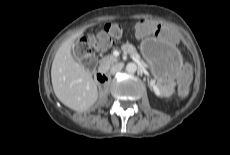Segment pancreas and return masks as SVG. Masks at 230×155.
<instances>
[{
  "mask_svg": "<svg viewBox=\"0 0 230 155\" xmlns=\"http://www.w3.org/2000/svg\"><path fill=\"white\" fill-rule=\"evenodd\" d=\"M122 50L125 52H128L131 56L139 58V55H138V53L134 47H129L128 45H124V46H122ZM117 61H118L117 57H115L113 55H108V56H105L104 58H102V60L100 62H101V64H105L107 66H110L112 63H115ZM173 92H174L173 83L167 85L166 87H164L162 89V93L166 97H169L170 95H172Z\"/></svg>",
  "mask_w": 230,
  "mask_h": 155,
  "instance_id": "1",
  "label": "pancreas"
}]
</instances>
